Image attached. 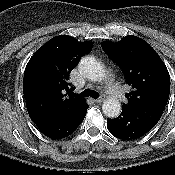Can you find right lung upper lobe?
I'll return each mask as SVG.
<instances>
[{
  "label": "right lung upper lobe",
  "mask_w": 175,
  "mask_h": 175,
  "mask_svg": "<svg viewBox=\"0 0 175 175\" xmlns=\"http://www.w3.org/2000/svg\"><path fill=\"white\" fill-rule=\"evenodd\" d=\"M91 49V42L59 35L31 57L24 72L23 93L33 122L51 114H75L88 106L80 95L73 93L75 88L68 79L80 58Z\"/></svg>",
  "instance_id": "right-lung-upper-lobe-1"
}]
</instances>
